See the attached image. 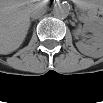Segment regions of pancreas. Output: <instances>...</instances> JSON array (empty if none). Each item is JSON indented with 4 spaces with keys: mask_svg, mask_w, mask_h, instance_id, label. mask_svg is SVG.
<instances>
[{
    "mask_svg": "<svg viewBox=\"0 0 103 103\" xmlns=\"http://www.w3.org/2000/svg\"><path fill=\"white\" fill-rule=\"evenodd\" d=\"M79 18H80V20H82L83 22H88V17L84 14V13H81L80 15H79Z\"/></svg>",
    "mask_w": 103,
    "mask_h": 103,
    "instance_id": "cf45deb5",
    "label": "pancreas"
}]
</instances>
